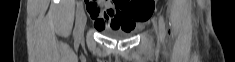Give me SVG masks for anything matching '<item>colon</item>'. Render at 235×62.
Returning <instances> with one entry per match:
<instances>
[{
	"mask_svg": "<svg viewBox=\"0 0 235 62\" xmlns=\"http://www.w3.org/2000/svg\"><path fill=\"white\" fill-rule=\"evenodd\" d=\"M153 0H132L124 4V12L137 22H145L152 14Z\"/></svg>",
	"mask_w": 235,
	"mask_h": 62,
	"instance_id": "colon-1",
	"label": "colon"
}]
</instances>
